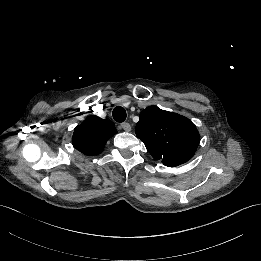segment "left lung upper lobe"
Instances as JSON below:
<instances>
[{
  "mask_svg": "<svg viewBox=\"0 0 261 261\" xmlns=\"http://www.w3.org/2000/svg\"><path fill=\"white\" fill-rule=\"evenodd\" d=\"M139 117L136 135L155 159L174 167L192 158L200 136L188 118L155 106L144 109Z\"/></svg>",
  "mask_w": 261,
  "mask_h": 261,
  "instance_id": "1",
  "label": "left lung upper lobe"
}]
</instances>
